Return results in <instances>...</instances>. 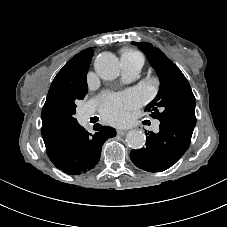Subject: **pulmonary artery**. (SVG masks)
<instances>
[{"label": "pulmonary artery", "mask_w": 227, "mask_h": 227, "mask_svg": "<svg viewBox=\"0 0 227 227\" xmlns=\"http://www.w3.org/2000/svg\"><path fill=\"white\" fill-rule=\"evenodd\" d=\"M121 63H122V77L126 81L135 78L139 74L142 68V64L140 62L132 61L126 58H122ZM83 115L84 117H89L91 116V111L86 110ZM153 128L155 130H158L159 128L158 121L154 123Z\"/></svg>", "instance_id": "obj_1"}]
</instances>
